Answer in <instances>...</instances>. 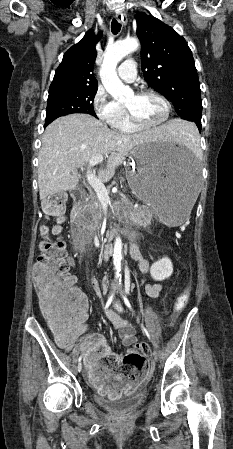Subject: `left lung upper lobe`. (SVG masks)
I'll return each mask as SVG.
<instances>
[{
  "mask_svg": "<svg viewBox=\"0 0 233 449\" xmlns=\"http://www.w3.org/2000/svg\"><path fill=\"white\" fill-rule=\"evenodd\" d=\"M145 81L171 100L176 113L201 129V90L192 52L170 26L152 15L136 14Z\"/></svg>",
  "mask_w": 233,
  "mask_h": 449,
  "instance_id": "5c2ea615",
  "label": "left lung upper lobe"
}]
</instances>
